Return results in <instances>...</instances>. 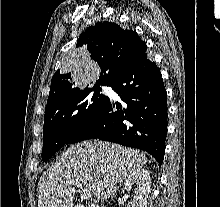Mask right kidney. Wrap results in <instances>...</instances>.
<instances>
[{
	"mask_svg": "<svg viewBox=\"0 0 220 207\" xmlns=\"http://www.w3.org/2000/svg\"><path fill=\"white\" fill-rule=\"evenodd\" d=\"M150 175L144 168L135 169L126 179L124 189L128 192L133 185L137 188L134 191L132 207H146L150 192Z\"/></svg>",
	"mask_w": 220,
	"mask_h": 207,
	"instance_id": "right-kidney-1",
	"label": "right kidney"
}]
</instances>
